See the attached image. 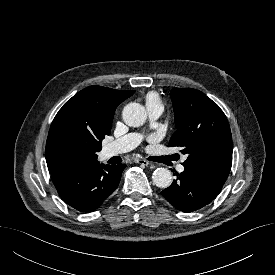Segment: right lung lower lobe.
Returning <instances> with one entry per match:
<instances>
[{"label":"right lung lower lobe","mask_w":275,"mask_h":275,"mask_svg":"<svg viewBox=\"0 0 275 275\" xmlns=\"http://www.w3.org/2000/svg\"><path fill=\"white\" fill-rule=\"evenodd\" d=\"M126 164L104 165L98 161L51 174L60 197L80 212H91L117 188Z\"/></svg>","instance_id":"obj_1"}]
</instances>
